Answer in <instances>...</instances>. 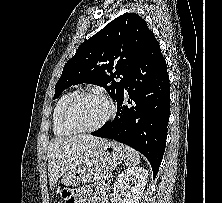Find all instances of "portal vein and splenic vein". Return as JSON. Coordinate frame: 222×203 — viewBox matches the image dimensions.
I'll use <instances>...</instances> for the list:
<instances>
[{
    "label": "portal vein and splenic vein",
    "mask_w": 222,
    "mask_h": 203,
    "mask_svg": "<svg viewBox=\"0 0 222 203\" xmlns=\"http://www.w3.org/2000/svg\"><path fill=\"white\" fill-rule=\"evenodd\" d=\"M112 165H113V166H115V165H116V163H112Z\"/></svg>",
    "instance_id": "obj_1"
}]
</instances>
